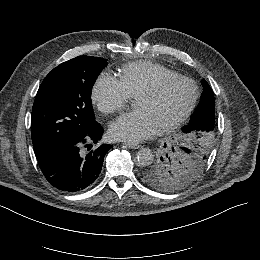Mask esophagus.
<instances>
[{"label": "esophagus", "mask_w": 260, "mask_h": 260, "mask_svg": "<svg viewBox=\"0 0 260 260\" xmlns=\"http://www.w3.org/2000/svg\"><path fill=\"white\" fill-rule=\"evenodd\" d=\"M124 145H126L127 147H129L131 149H139L141 147L139 144H136V143H124Z\"/></svg>", "instance_id": "34e87169"}]
</instances>
